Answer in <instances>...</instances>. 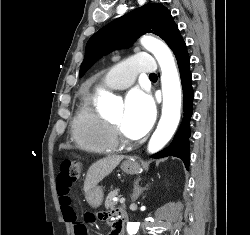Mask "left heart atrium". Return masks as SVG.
I'll return each mask as SVG.
<instances>
[{
    "label": "left heart atrium",
    "mask_w": 250,
    "mask_h": 235,
    "mask_svg": "<svg viewBox=\"0 0 250 235\" xmlns=\"http://www.w3.org/2000/svg\"><path fill=\"white\" fill-rule=\"evenodd\" d=\"M155 119V105L145 91L134 89L125 99L123 126L134 138L145 135Z\"/></svg>",
    "instance_id": "obj_1"
}]
</instances>
